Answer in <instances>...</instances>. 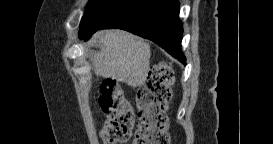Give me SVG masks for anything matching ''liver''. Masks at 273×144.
<instances>
[{
    "mask_svg": "<svg viewBox=\"0 0 273 144\" xmlns=\"http://www.w3.org/2000/svg\"><path fill=\"white\" fill-rule=\"evenodd\" d=\"M99 51L91 57L94 72L131 87L145 84L150 71V45L135 35L111 29L98 33Z\"/></svg>",
    "mask_w": 273,
    "mask_h": 144,
    "instance_id": "liver-1",
    "label": "liver"
}]
</instances>
